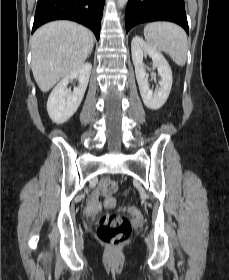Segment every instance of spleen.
<instances>
[{
	"instance_id": "3e777b00",
	"label": "spleen",
	"mask_w": 229,
	"mask_h": 280,
	"mask_svg": "<svg viewBox=\"0 0 229 280\" xmlns=\"http://www.w3.org/2000/svg\"><path fill=\"white\" fill-rule=\"evenodd\" d=\"M144 36L151 48L167 53L177 65H185L188 42L181 27L170 22H152L145 26Z\"/></svg>"
}]
</instances>
